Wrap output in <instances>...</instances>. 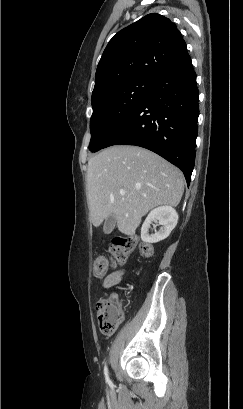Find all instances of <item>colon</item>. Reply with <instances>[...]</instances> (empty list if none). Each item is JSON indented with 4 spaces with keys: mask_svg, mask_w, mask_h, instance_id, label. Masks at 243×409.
I'll return each instance as SVG.
<instances>
[{
    "mask_svg": "<svg viewBox=\"0 0 243 409\" xmlns=\"http://www.w3.org/2000/svg\"><path fill=\"white\" fill-rule=\"evenodd\" d=\"M137 240L135 238L116 237L110 247V257H98L93 262L94 277L101 279L105 277L111 267L124 264L133 251ZM139 254L150 258L153 254L151 244L142 243L139 246ZM97 315L100 330L104 334L114 333L124 318V307L121 302L114 299H100L97 302Z\"/></svg>",
    "mask_w": 243,
    "mask_h": 409,
    "instance_id": "5ec220e1",
    "label": "colon"
}]
</instances>
